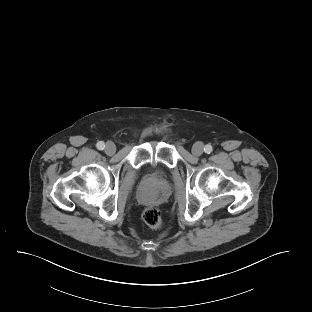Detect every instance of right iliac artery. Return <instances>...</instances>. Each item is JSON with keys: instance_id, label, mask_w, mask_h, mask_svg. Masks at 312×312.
<instances>
[{"instance_id": "1", "label": "right iliac artery", "mask_w": 312, "mask_h": 312, "mask_svg": "<svg viewBox=\"0 0 312 312\" xmlns=\"http://www.w3.org/2000/svg\"><path fill=\"white\" fill-rule=\"evenodd\" d=\"M96 147L99 150H103L105 148V144H104V142L100 141V142L97 143Z\"/></svg>"}]
</instances>
